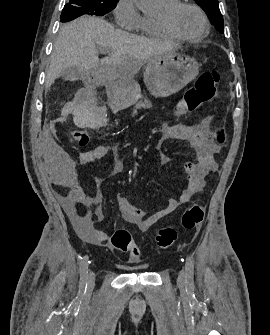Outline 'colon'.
<instances>
[{"label": "colon", "mask_w": 270, "mask_h": 335, "mask_svg": "<svg viewBox=\"0 0 270 335\" xmlns=\"http://www.w3.org/2000/svg\"><path fill=\"white\" fill-rule=\"evenodd\" d=\"M220 82V73L217 70L202 72L192 88L184 95L182 100L175 108L178 115L187 112H193L202 106L205 102L210 101L215 96ZM72 138L80 146L86 145L89 140V134L86 130H73ZM216 140L219 144H223L227 139L224 129L218 128L215 133ZM203 206L200 203L190 204L181 216L179 226H165L161 228L156 235V247L159 250H169L176 242L181 229L198 228L203 220ZM111 247L120 252L129 254L131 260H138L141 256V249L137 247L132 235L127 229L119 228L114 231L111 237Z\"/></svg>", "instance_id": "5ec220e1"}]
</instances>
